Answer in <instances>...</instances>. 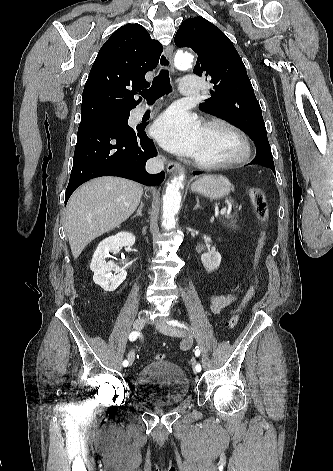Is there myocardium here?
<instances>
[{
	"instance_id": "myocardium-1",
	"label": "myocardium",
	"mask_w": 333,
	"mask_h": 471,
	"mask_svg": "<svg viewBox=\"0 0 333 471\" xmlns=\"http://www.w3.org/2000/svg\"><path fill=\"white\" fill-rule=\"evenodd\" d=\"M212 127H219L226 130L228 133H230L237 143V151L233 156L227 159L217 160V161H205V160H201L195 157L194 164L197 167L202 168V169L227 168V167L239 165L245 162L249 158L250 153H251L250 142L247 136L245 135V133L240 128H238L236 125L222 118H212L210 120H207L203 124V128H212Z\"/></svg>"
}]
</instances>
